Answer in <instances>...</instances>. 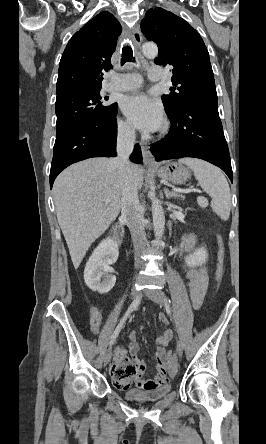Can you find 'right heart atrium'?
<instances>
[{
  "instance_id": "d8ad5b80",
  "label": "right heart atrium",
  "mask_w": 266,
  "mask_h": 444,
  "mask_svg": "<svg viewBox=\"0 0 266 444\" xmlns=\"http://www.w3.org/2000/svg\"><path fill=\"white\" fill-rule=\"evenodd\" d=\"M117 128L121 137L129 138L133 135V128L131 124L125 120H119Z\"/></svg>"
}]
</instances>
